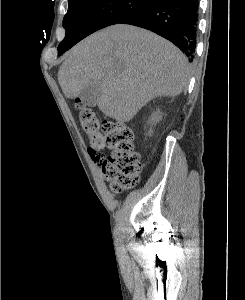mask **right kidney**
I'll use <instances>...</instances> for the list:
<instances>
[{
  "label": "right kidney",
  "mask_w": 245,
  "mask_h": 300,
  "mask_svg": "<svg viewBox=\"0 0 245 300\" xmlns=\"http://www.w3.org/2000/svg\"><path fill=\"white\" fill-rule=\"evenodd\" d=\"M162 118V113L158 110L155 113L152 114L149 123H151V125L156 124L157 122H159ZM151 133H153V131L150 129V131L148 132L149 135H151Z\"/></svg>",
  "instance_id": "ca27d5eb"
}]
</instances>
